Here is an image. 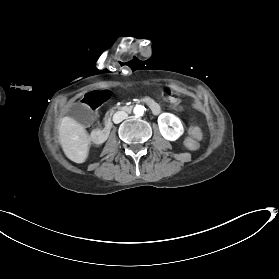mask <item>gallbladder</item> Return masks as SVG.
<instances>
[{"mask_svg":"<svg viewBox=\"0 0 279 279\" xmlns=\"http://www.w3.org/2000/svg\"><path fill=\"white\" fill-rule=\"evenodd\" d=\"M61 114L63 116L71 115L72 119L82 126H87L95 120L94 115L89 113L87 108L77 102L72 103L70 107H63L61 109Z\"/></svg>","mask_w":279,"mask_h":279,"instance_id":"1","label":"gallbladder"}]
</instances>
